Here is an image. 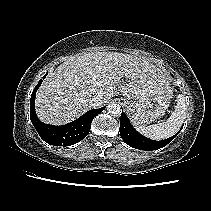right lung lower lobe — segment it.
Wrapping results in <instances>:
<instances>
[{"label":"right lung lower lobe","instance_id":"98d812e1","mask_svg":"<svg viewBox=\"0 0 211 211\" xmlns=\"http://www.w3.org/2000/svg\"><path fill=\"white\" fill-rule=\"evenodd\" d=\"M41 83L42 79L34 88L30 99V119L40 137L48 144L55 146H70L83 140L90 131L92 120L105 107L90 110L77 120L62 126L45 124L38 119L35 112V95Z\"/></svg>","mask_w":211,"mask_h":211}]
</instances>
